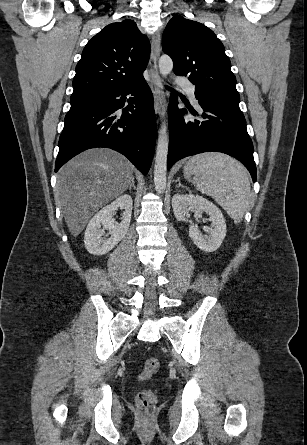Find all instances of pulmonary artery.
I'll use <instances>...</instances> for the list:
<instances>
[{
	"instance_id": "e3ab8cb5",
	"label": "pulmonary artery",
	"mask_w": 307,
	"mask_h": 445,
	"mask_svg": "<svg viewBox=\"0 0 307 445\" xmlns=\"http://www.w3.org/2000/svg\"><path fill=\"white\" fill-rule=\"evenodd\" d=\"M178 87L180 90H191L193 87V84L191 81H180L178 84ZM190 96L195 101L194 91L190 92Z\"/></svg>"
}]
</instances>
